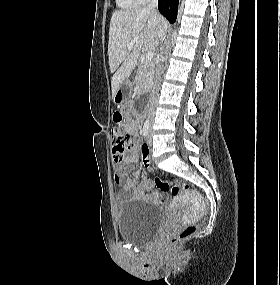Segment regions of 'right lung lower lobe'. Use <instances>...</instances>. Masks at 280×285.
Instances as JSON below:
<instances>
[{
	"label": "right lung lower lobe",
	"mask_w": 280,
	"mask_h": 285,
	"mask_svg": "<svg viewBox=\"0 0 280 285\" xmlns=\"http://www.w3.org/2000/svg\"><path fill=\"white\" fill-rule=\"evenodd\" d=\"M179 0H158V9L170 23H174L177 18Z\"/></svg>",
	"instance_id": "right-lung-lower-lobe-1"
}]
</instances>
